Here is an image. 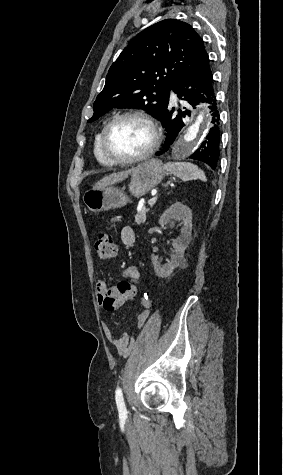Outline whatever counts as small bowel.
<instances>
[{"label": "small bowel", "instance_id": "small-bowel-1", "mask_svg": "<svg viewBox=\"0 0 283 475\" xmlns=\"http://www.w3.org/2000/svg\"><path fill=\"white\" fill-rule=\"evenodd\" d=\"M121 242L125 246H132L136 242L135 232L132 227L124 226L120 232ZM130 274H139V271L134 266L127 267L123 272L124 279H129ZM117 285L109 286L105 281L99 280L95 286V297L98 306L106 310L105 307H102L101 300L103 293H117ZM136 297V296H135ZM143 309L136 316V327L140 329L146 322L149 311L151 307L150 297L144 295L141 299ZM102 330L104 336L117 350V353L121 357H126L130 353L133 346V338L128 334L124 333L120 336H114L110 327L106 324H102Z\"/></svg>", "mask_w": 283, "mask_h": 475}]
</instances>
